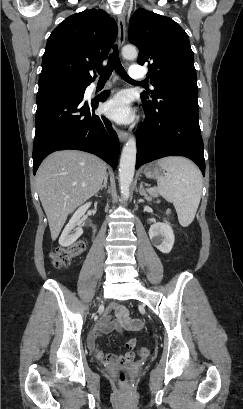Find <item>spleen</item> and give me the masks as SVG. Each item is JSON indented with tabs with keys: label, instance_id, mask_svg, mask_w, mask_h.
<instances>
[{
	"label": "spleen",
	"instance_id": "spleen-1",
	"mask_svg": "<svg viewBox=\"0 0 243 409\" xmlns=\"http://www.w3.org/2000/svg\"><path fill=\"white\" fill-rule=\"evenodd\" d=\"M158 165L164 172L157 178L159 193L166 201L173 203L181 226H189L201 199L200 170L183 157H166L160 159Z\"/></svg>",
	"mask_w": 243,
	"mask_h": 409
}]
</instances>
